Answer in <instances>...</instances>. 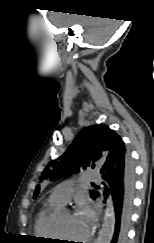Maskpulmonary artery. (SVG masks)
Wrapping results in <instances>:
<instances>
[{
	"mask_svg": "<svg viewBox=\"0 0 154 243\" xmlns=\"http://www.w3.org/2000/svg\"><path fill=\"white\" fill-rule=\"evenodd\" d=\"M99 179V174L97 172H87L83 175L82 181H98ZM74 192V184L72 182H65L57 185L52 190L49 200L59 205H65L71 200Z\"/></svg>",
	"mask_w": 154,
	"mask_h": 243,
	"instance_id": "e3ab8cb5",
	"label": "pulmonary artery"
}]
</instances>
